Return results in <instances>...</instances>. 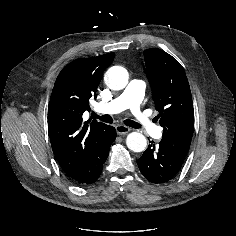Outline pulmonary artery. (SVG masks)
I'll return each mask as SVG.
<instances>
[{
    "mask_svg": "<svg viewBox=\"0 0 236 236\" xmlns=\"http://www.w3.org/2000/svg\"><path fill=\"white\" fill-rule=\"evenodd\" d=\"M145 89L146 84L144 81L133 79L120 95L108 103L99 104L97 110L101 113L116 114L130 109L134 114L135 122L140 125L145 133L151 136H157L160 131L159 127L140 109V103Z\"/></svg>",
    "mask_w": 236,
    "mask_h": 236,
    "instance_id": "e3ab8cb5",
    "label": "pulmonary artery"
}]
</instances>
